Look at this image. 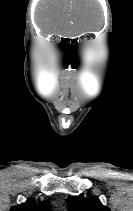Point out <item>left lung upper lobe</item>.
I'll return each instance as SVG.
<instances>
[{
	"label": "left lung upper lobe",
	"instance_id": "obj_1",
	"mask_svg": "<svg viewBox=\"0 0 133 211\" xmlns=\"http://www.w3.org/2000/svg\"><path fill=\"white\" fill-rule=\"evenodd\" d=\"M67 203L70 211H110L108 207L101 204L97 196L89 199L69 197Z\"/></svg>",
	"mask_w": 133,
	"mask_h": 211
}]
</instances>
